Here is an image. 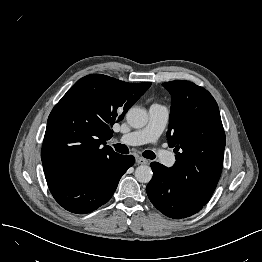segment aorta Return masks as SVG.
<instances>
[{"mask_svg": "<svg viewBox=\"0 0 262 262\" xmlns=\"http://www.w3.org/2000/svg\"><path fill=\"white\" fill-rule=\"evenodd\" d=\"M127 123L136 129L144 127L148 122L146 110L138 107H132L126 114ZM152 170L148 165H140L135 170V178L140 183H149L152 179Z\"/></svg>", "mask_w": 262, "mask_h": 262, "instance_id": "aorta-1", "label": "aorta"}]
</instances>
